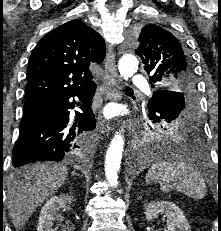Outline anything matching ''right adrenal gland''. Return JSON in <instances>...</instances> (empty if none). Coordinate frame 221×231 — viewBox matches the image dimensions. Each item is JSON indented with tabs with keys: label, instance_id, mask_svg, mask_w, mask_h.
Wrapping results in <instances>:
<instances>
[{
	"label": "right adrenal gland",
	"instance_id": "obj_1",
	"mask_svg": "<svg viewBox=\"0 0 221 231\" xmlns=\"http://www.w3.org/2000/svg\"><path fill=\"white\" fill-rule=\"evenodd\" d=\"M80 176L78 173H76L75 171L72 172V176Z\"/></svg>",
	"mask_w": 221,
	"mask_h": 231
}]
</instances>
